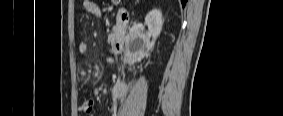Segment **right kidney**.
I'll return each mask as SVG.
<instances>
[{
  "instance_id": "ca27d5eb",
  "label": "right kidney",
  "mask_w": 283,
  "mask_h": 116,
  "mask_svg": "<svg viewBox=\"0 0 283 116\" xmlns=\"http://www.w3.org/2000/svg\"><path fill=\"white\" fill-rule=\"evenodd\" d=\"M145 24L148 26V33L138 31L130 33L127 37V49L125 56L133 61H141L149 55V51L153 49L155 41L162 30V13L154 9L145 17ZM152 37V41L150 38Z\"/></svg>"
}]
</instances>
